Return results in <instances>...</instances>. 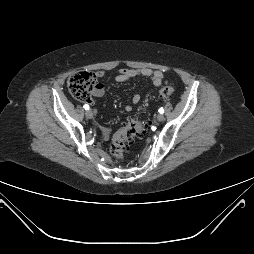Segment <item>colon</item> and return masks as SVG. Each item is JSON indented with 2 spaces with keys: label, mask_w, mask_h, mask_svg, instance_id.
<instances>
[{
  "label": "colon",
  "mask_w": 254,
  "mask_h": 254,
  "mask_svg": "<svg viewBox=\"0 0 254 254\" xmlns=\"http://www.w3.org/2000/svg\"><path fill=\"white\" fill-rule=\"evenodd\" d=\"M97 75L91 72H78L68 78L67 86L72 94L78 100L88 101L91 93L97 86ZM171 86L162 87L159 90V96L162 99H168L174 93ZM146 133V125L144 122L129 119L124 125L117 130L111 138L110 152L117 160L125 157L128 146L137 138L144 136Z\"/></svg>",
  "instance_id": "obj_1"
}]
</instances>
